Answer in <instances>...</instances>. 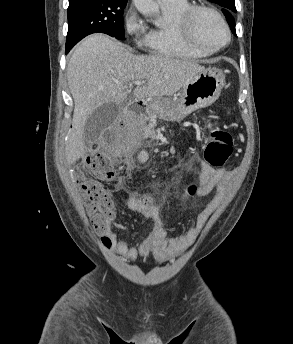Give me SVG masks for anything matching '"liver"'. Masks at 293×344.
Masks as SVG:
<instances>
[{"instance_id":"obj_1","label":"liver","mask_w":293,"mask_h":344,"mask_svg":"<svg viewBox=\"0 0 293 344\" xmlns=\"http://www.w3.org/2000/svg\"><path fill=\"white\" fill-rule=\"evenodd\" d=\"M204 69L188 59L131 54L121 43L103 34L85 38L75 48L67 67L75 105L65 145L67 162L74 163L85 154L83 134L89 116L105 103H124L128 82H144L133 90L136 101L152 100L174 95Z\"/></svg>"}]
</instances>
